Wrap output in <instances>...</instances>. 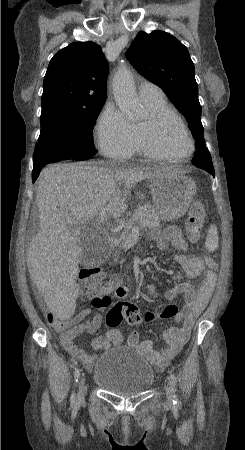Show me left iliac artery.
Listing matches in <instances>:
<instances>
[{"instance_id":"1","label":"left iliac artery","mask_w":245,"mask_h":450,"mask_svg":"<svg viewBox=\"0 0 245 450\" xmlns=\"http://www.w3.org/2000/svg\"><path fill=\"white\" fill-rule=\"evenodd\" d=\"M170 379H171V383L173 385L174 392H175V395L173 396V403L174 404H178L179 403V398H178V396L176 394V391H177V377L174 374L171 373L170 374Z\"/></svg>"}]
</instances>
